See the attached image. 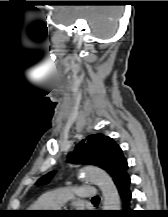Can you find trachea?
<instances>
[{"mask_svg":"<svg viewBox=\"0 0 168 217\" xmlns=\"http://www.w3.org/2000/svg\"><path fill=\"white\" fill-rule=\"evenodd\" d=\"M92 200H93V201H94V200H99V197L96 196V197H94Z\"/></svg>","mask_w":168,"mask_h":217,"instance_id":"3493384b","label":"trachea"}]
</instances>
